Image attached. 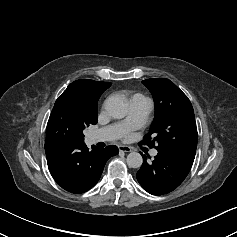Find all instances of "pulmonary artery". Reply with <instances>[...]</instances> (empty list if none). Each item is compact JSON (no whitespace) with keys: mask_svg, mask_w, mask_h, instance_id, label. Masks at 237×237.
I'll use <instances>...</instances> for the list:
<instances>
[{"mask_svg":"<svg viewBox=\"0 0 237 237\" xmlns=\"http://www.w3.org/2000/svg\"><path fill=\"white\" fill-rule=\"evenodd\" d=\"M152 108V103L143 96H134L129 101V113L125 120L93 131L89 138L92 143L116 140L130 130L141 128ZM153 150L151 154L157 155Z\"/></svg>","mask_w":237,"mask_h":237,"instance_id":"pulmonary-artery-1","label":"pulmonary artery"}]
</instances>
